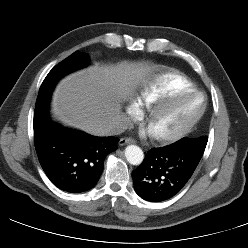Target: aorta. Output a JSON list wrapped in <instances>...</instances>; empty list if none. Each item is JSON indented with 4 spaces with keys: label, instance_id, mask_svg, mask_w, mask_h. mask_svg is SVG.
Segmentation results:
<instances>
[{
    "label": "aorta",
    "instance_id": "1",
    "mask_svg": "<svg viewBox=\"0 0 248 248\" xmlns=\"http://www.w3.org/2000/svg\"><path fill=\"white\" fill-rule=\"evenodd\" d=\"M125 157L132 165H140L144 159L142 149L136 145H129L125 148Z\"/></svg>",
    "mask_w": 248,
    "mask_h": 248
}]
</instances>
